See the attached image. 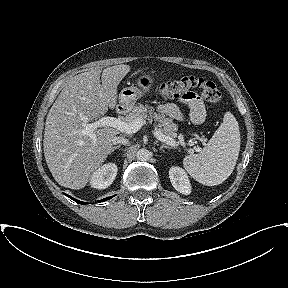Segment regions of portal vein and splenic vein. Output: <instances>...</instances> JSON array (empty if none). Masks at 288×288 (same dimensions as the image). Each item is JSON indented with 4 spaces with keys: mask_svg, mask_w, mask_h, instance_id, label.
Listing matches in <instances>:
<instances>
[{
    "mask_svg": "<svg viewBox=\"0 0 288 288\" xmlns=\"http://www.w3.org/2000/svg\"><path fill=\"white\" fill-rule=\"evenodd\" d=\"M84 129L81 131L83 135H89L92 139L93 146L96 145V135L94 134V131L97 128L100 127H112L115 128L121 132L131 134L136 133L138 130L142 128V126L145 124V121L141 118H137L133 120L132 122H125L121 119H117L114 117L104 116L100 118L98 121H95L93 123H88L86 120H84ZM155 137L166 143L167 145H170L172 147L178 146V143L171 137H168L164 135L161 131H159L157 128L154 130ZM197 151H200L199 148L196 149ZM189 152H193V149H191Z\"/></svg>",
    "mask_w": 288,
    "mask_h": 288,
    "instance_id": "obj_1",
    "label": "portal vein and splenic vein"
}]
</instances>
